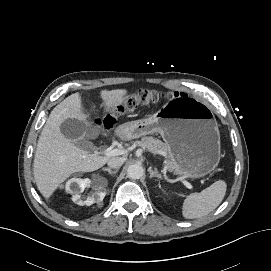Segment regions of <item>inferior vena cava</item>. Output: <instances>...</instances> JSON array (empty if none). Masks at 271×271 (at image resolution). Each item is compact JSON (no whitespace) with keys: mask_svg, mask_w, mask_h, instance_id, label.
Here are the masks:
<instances>
[{"mask_svg":"<svg viewBox=\"0 0 271 271\" xmlns=\"http://www.w3.org/2000/svg\"><path fill=\"white\" fill-rule=\"evenodd\" d=\"M126 158L123 157H112L108 161V166L113 169H118L125 162Z\"/></svg>","mask_w":271,"mask_h":271,"instance_id":"602c4592","label":"inferior vena cava"}]
</instances>
